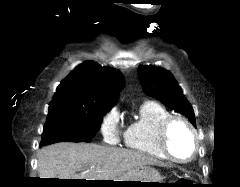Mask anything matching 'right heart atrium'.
<instances>
[{
  "label": "right heart atrium",
  "instance_id": "obj_1",
  "mask_svg": "<svg viewBox=\"0 0 240 187\" xmlns=\"http://www.w3.org/2000/svg\"><path fill=\"white\" fill-rule=\"evenodd\" d=\"M100 133L105 143L115 145L122 136L119 113L115 108L109 110L100 122Z\"/></svg>",
  "mask_w": 240,
  "mask_h": 187
}]
</instances>
